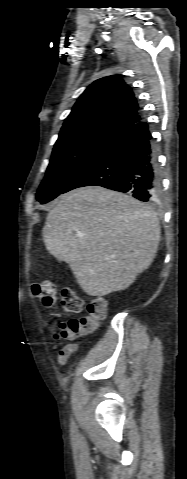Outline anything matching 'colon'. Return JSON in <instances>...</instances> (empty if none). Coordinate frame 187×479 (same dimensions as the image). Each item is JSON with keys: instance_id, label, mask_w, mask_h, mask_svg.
I'll use <instances>...</instances> for the list:
<instances>
[{"instance_id": "obj_1", "label": "colon", "mask_w": 187, "mask_h": 479, "mask_svg": "<svg viewBox=\"0 0 187 479\" xmlns=\"http://www.w3.org/2000/svg\"><path fill=\"white\" fill-rule=\"evenodd\" d=\"M32 292L45 306L52 307L59 302L62 311L67 314H78L85 307L84 300L74 289L65 287L58 295L54 284L48 280L33 284ZM86 310V316L60 323L57 337L69 339L94 331L98 322L106 317L107 302L103 297H95L87 303Z\"/></svg>"}]
</instances>
